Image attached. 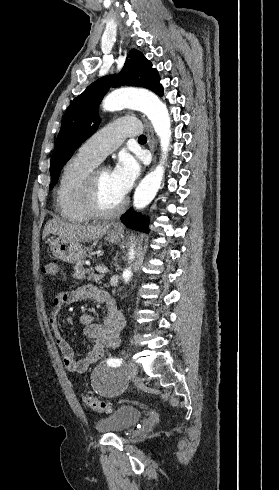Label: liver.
Returning a JSON list of instances; mask_svg holds the SVG:
<instances>
[{"mask_svg":"<svg viewBox=\"0 0 279 490\" xmlns=\"http://www.w3.org/2000/svg\"><path fill=\"white\" fill-rule=\"evenodd\" d=\"M111 224H102V226H79V224H65L59 218L49 220L44 226L42 238H46L49 234H55L63 240H72V242H90V240H98L103 238L110 230Z\"/></svg>","mask_w":279,"mask_h":490,"instance_id":"6515ba94","label":"liver"}]
</instances>
